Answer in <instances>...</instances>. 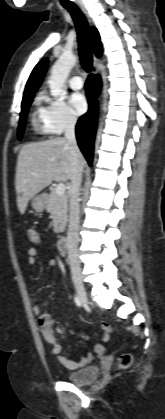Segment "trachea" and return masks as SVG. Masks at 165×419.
I'll return each instance as SVG.
<instances>
[{
  "instance_id": "obj_1",
  "label": "trachea",
  "mask_w": 165,
  "mask_h": 419,
  "mask_svg": "<svg viewBox=\"0 0 165 419\" xmlns=\"http://www.w3.org/2000/svg\"><path fill=\"white\" fill-rule=\"evenodd\" d=\"M65 9L71 14L76 26L81 65L84 70L90 72L92 69V53L88 22L76 5L65 6Z\"/></svg>"
}]
</instances>
